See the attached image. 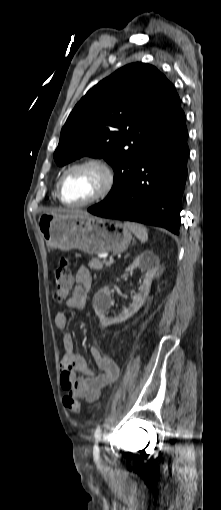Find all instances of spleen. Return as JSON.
<instances>
[{
	"label": "spleen",
	"mask_w": 221,
	"mask_h": 510,
	"mask_svg": "<svg viewBox=\"0 0 221 510\" xmlns=\"http://www.w3.org/2000/svg\"><path fill=\"white\" fill-rule=\"evenodd\" d=\"M125 227L132 231L134 235L142 242L145 243L148 239V230L147 228L139 223L126 221L124 223Z\"/></svg>",
	"instance_id": "spleen-1"
}]
</instances>
